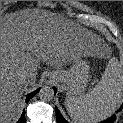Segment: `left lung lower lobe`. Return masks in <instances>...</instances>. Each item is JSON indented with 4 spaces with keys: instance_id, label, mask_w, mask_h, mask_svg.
Wrapping results in <instances>:
<instances>
[{
    "instance_id": "obj_1",
    "label": "left lung lower lobe",
    "mask_w": 123,
    "mask_h": 123,
    "mask_svg": "<svg viewBox=\"0 0 123 123\" xmlns=\"http://www.w3.org/2000/svg\"><path fill=\"white\" fill-rule=\"evenodd\" d=\"M54 92H56V89L54 88ZM123 108V104L121 105L119 111H121ZM56 110V117H57V123H68L64 117L61 115V113L59 112V110L57 109V107L55 108ZM116 119V115H113L111 118L101 122V123H113Z\"/></svg>"
}]
</instances>
